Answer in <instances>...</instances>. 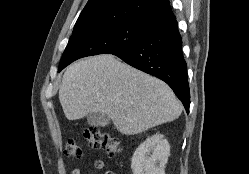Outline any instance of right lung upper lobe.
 Returning a JSON list of instances; mask_svg holds the SVG:
<instances>
[{
	"label": "right lung upper lobe",
	"mask_w": 249,
	"mask_h": 174,
	"mask_svg": "<svg viewBox=\"0 0 249 174\" xmlns=\"http://www.w3.org/2000/svg\"><path fill=\"white\" fill-rule=\"evenodd\" d=\"M171 16L169 0H89L73 32L123 21L147 24Z\"/></svg>",
	"instance_id": "cb5924a9"
}]
</instances>
